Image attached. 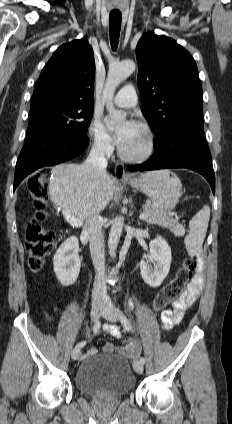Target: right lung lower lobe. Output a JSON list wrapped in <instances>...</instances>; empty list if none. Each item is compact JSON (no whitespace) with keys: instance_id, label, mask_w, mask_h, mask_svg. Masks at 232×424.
<instances>
[{"instance_id":"98d812e1","label":"right lung lower lobe","mask_w":232,"mask_h":424,"mask_svg":"<svg viewBox=\"0 0 232 424\" xmlns=\"http://www.w3.org/2000/svg\"><path fill=\"white\" fill-rule=\"evenodd\" d=\"M89 144L86 136H70L51 132H37L27 136L18 157L14 190L30 173L43 166L70 160L81 154Z\"/></svg>"}]
</instances>
